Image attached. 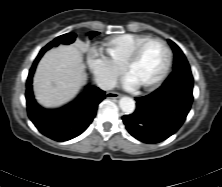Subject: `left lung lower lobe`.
Segmentation results:
<instances>
[{
  "label": "left lung lower lobe",
  "instance_id": "left-lung-lower-lobe-1",
  "mask_svg": "<svg viewBox=\"0 0 222 187\" xmlns=\"http://www.w3.org/2000/svg\"><path fill=\"white\" fill-rule=\"evenodd\" d=\"M190 68L172 72L154 92L137 97L135 111L122 117L128 132L144 143L161 142L184 123L193 101Z\"/></svg>",
  "mask_w": 222,
  "mask_h": 187
}]
</instances>
